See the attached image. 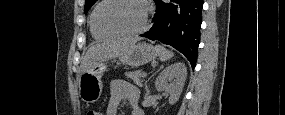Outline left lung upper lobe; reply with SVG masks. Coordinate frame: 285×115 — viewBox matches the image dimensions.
I'll return each mask as SVG.
<instances>
[{
	"mask_svg": "<svg viewBox=\"0 0 285 115\" xmlns=\"http://www.w3.org/2000/svg\"><path fill=\"white\" fill-rule=\"evenodd\" d=\"M95 2L96 0H85L84 13H87V11Z\"/></svg>",
	"mask_w": 285,
	"mask_h": 115,
	"instance_id": "1",
	"label": "left lung upper lobe"
}]
</instances>
